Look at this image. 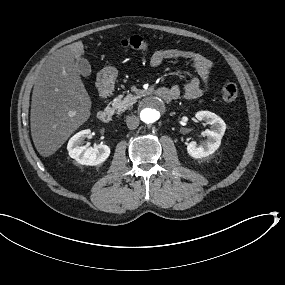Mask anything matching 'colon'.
<instances>
[{"instance_id":"5ec220e1","label":"colon","mask_w":285,"mask_h":285,"mask_svg":"<svg viewBox=\"0 0 285 285\" xmlns=\"http://www.w3.org/2000/svg\"><path fill=\"white\" fill-rule=\"evenodd\" d=\"M121 47L130 50L145 51L149 45L147 40L140 35L125 37L120 41ZM238 96V87L233 82L225 83L220 90V98L225 103L233 102Z\"/></svg>"}]
</instances>
